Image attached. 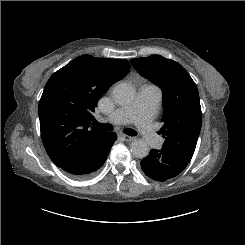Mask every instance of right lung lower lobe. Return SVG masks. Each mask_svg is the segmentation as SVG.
Instances as JSON below:
<instances>
[{"label":"right lung lower lobe","mask_w":245,"mask_h":245,"mask_svg":"<svg viewBox=\"0 0 245 245\" xmlns=\"http://www.w3.org/2000/svg\"><path fill=\"white\" fill-rule=\"evenodd\" d=\"M115 140L114 133L103 131L59 167L74 178L90 177L104 164Z\"/></svg>","instance_id":"obj_1"}]
</instances>
